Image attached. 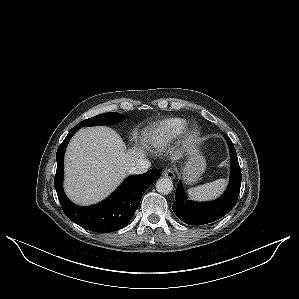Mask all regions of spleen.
<instances>
[{
    "mask_svg": "<svg viewBox=\"0 0 299 299\" xmlns=\"http://www.w3.org/2000/svg\"><path fill=\"white\" fill-rule=\"evenodd\" d=\"M227 184L226 179H218L210 183L188 189L189 199L195 201H207L218 197Z\"/></svg>",
    "mask_w": 299,
    "mask_h": 299,
    "instance_id": "obj_1",
    "label": "spleen"
}]
</instances>
